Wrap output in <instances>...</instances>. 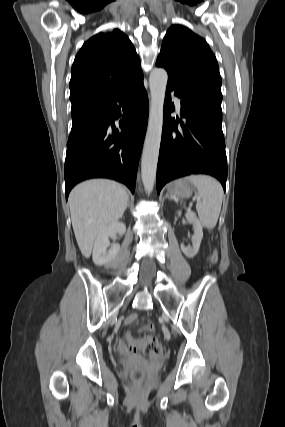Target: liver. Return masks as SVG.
<instances>
[{
	"label": "liver",
	"instance_id": "liver-1",
	"mask_svg": "<svg viewBox=\"0 0 285 427\" xmlns=\"http://www.w3.org/2000/svg\"><path fill=\"white\" fill-rule=\"evenodd\" d=\"M128 194L121 184L93 179L78 184L70 193L72 227L81 253L89 258L98 234L123 215Z\"/></svg>",
	"mask_w": 285,
	"mask_h": 427
}]
</instances>
